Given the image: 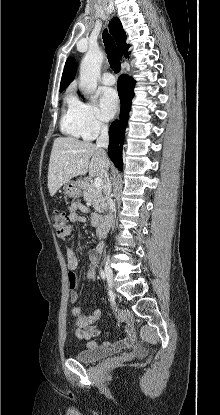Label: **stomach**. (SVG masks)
Listing matches in <instances>:
<instances>
[{
	"label": "stomach",
	"mask_w": 220,
	"mask_h": 415,
	"mask_svg": "<svg viewBox=\"0 0 220 415\" xmlns=\"http://www.w3.org/2000/svg\"><path fill=\"white\" fill-rule=\"evenodd\" d=\"M63 189L67 196L78 198L82 195L83 185L80 181H69L64 184Z\"/></svg>",
	"instance_id": "stomach-1"
}]
</instances>
